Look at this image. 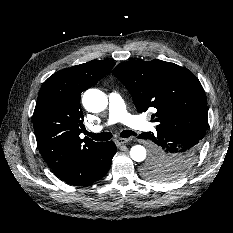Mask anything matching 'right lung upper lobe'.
<instances>
[{"mask_svg": "<svg viewBox=\"0 0 233 233\" xmlns=\"http://www.w3.org/2000/svg\"><path fill=\"white\" fill-rule=\"evenodd\" d=\"M115 65L112 61H90L62 69L42 85L33 113L39 150L54 174L99 143L80 139L84 125L81 92L102 79Z\"/></svg>", "mask_w": 233, "mask_h": 233, "instance_id": "cb5924a9", "label": "right lung upper lobe"}]
</instances>
